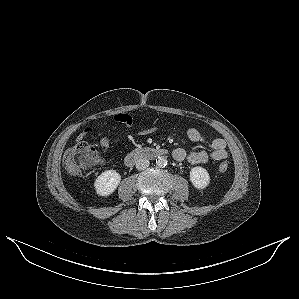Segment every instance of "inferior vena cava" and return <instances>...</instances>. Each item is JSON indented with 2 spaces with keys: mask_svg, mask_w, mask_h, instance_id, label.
I'll use <instances>...</instances> for the list:
<instances>
[{
  "mask_svg": "<svg viewBox=\"0 0 299 299\" xmlns=\"http://www.w3.org/2000/svg\"><path fill=\"white\" fill-rule=\"evenodd\" d=\"M150 165V162L147 158L141 157L136 161V168L138 170H144Z\"/></svg>",
  "mask_w": 299,
  "mask_h": 299,
  "instance_id": "1",
  "label": "inferior vena cava"
}]
</instances>
